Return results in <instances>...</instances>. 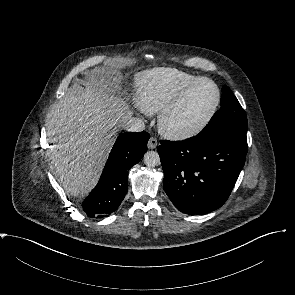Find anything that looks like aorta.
<instances>
[{
  "instance_id": "obj_1",
  "label": "aorta",
  "mask_w": 295,
  "mask_h": 295,
  "mask_svg": "<svg viewBox=\"0 0 295 295\" xmlns=\"http://www.w3.org/2000/svg\"><path fill=\"white\" fill-rule=\"evenodd\" d=\"M144 163L148 167H155L160 164V157L156 151H148L144 155Z\"/></svg>"
}]
</instances>
